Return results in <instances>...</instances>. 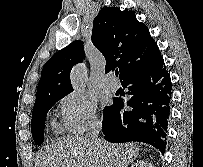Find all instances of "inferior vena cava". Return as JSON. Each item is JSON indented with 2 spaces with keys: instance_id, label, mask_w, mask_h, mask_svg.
<instances>
[{
  "instance_id": "inferior-vena-cava-1",
  "label": "inferior vena cava",
  "mask_w": 203,
  "mask_h": 167,
  "mask_svg": "<svg viewBox=\"0 0 203 167\" xmlns=\"http://www.w3.org/2000/svg\"><path fill=\"white\" fill-rule=\"evenodd\" d=\"M100 130H101V122H98L94 125L92 131L87 135V138L91 140V142H93L94 144H98L99 143L98 135L100 133Z\"/></svg>"
}]
</instances>
